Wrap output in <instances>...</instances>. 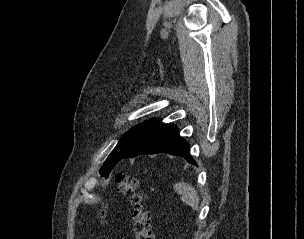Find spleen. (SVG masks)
I'll return each instance as SVG.
<instances>
[{"label": "spleen", "mask_w": 304, "mask_h": 239, "mask_svg": "<svg viewBox=\"0 0 304 239\" xmlns=\"http://www.w3.org/2000/svg\"><path fill=\"white\" fill-rule=\"evenodd\" d=\"M174 190L181 195V200L184 203L191 206L193 210H199V196L191 184L179 182L174 185Z\"/></svg>", "instance_id": "spleen-1"}]
</instances>
